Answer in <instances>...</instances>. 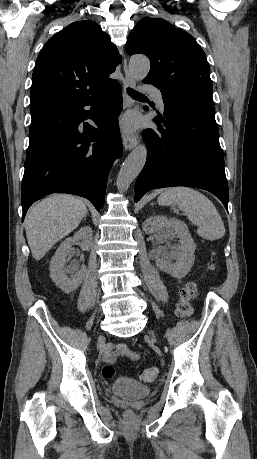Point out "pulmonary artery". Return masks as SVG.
<instances>
[{
  "label": "pulmonary artery",
  "mask_w": 257,
  "mask_h": 459,
  "mask_svg": "<svg viewBox=\"0 0 257 459\" xmlns=\"http://www.w3.org/2000/svg\"><path fill=\"white\" fill-rule=\"evenodd\" d=\"M149 92L151 93L153 98L156 100L158 106L161 109H164L165 105H164L162 93L160 92V90L152 88V89L149 90Z\"/></svg>",
  "instance_id": "pulmonary-artery-1"
}]
</instances>
